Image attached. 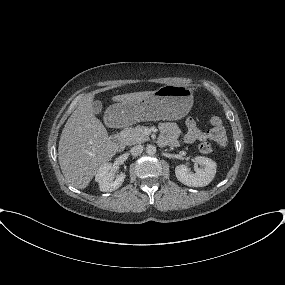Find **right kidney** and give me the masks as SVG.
Segmentation results:
<instances>
[{
	"label": "right kidney",
	"instance_id": "right-kidney-1",
	"mask_svg": "<svg viewBox=\"0 0 285 285\" xmlns=\"http://www.w3.org/2000/svg\"><path fill=\"white\" fill-rule=\"evenodd\" d=\"M125 177L126 175L123 172L115 177L112 164L106 162L99 167L95 181L98 182L100 191L112 192L122 186Z\"/></svg>",
	"mask_w": 285,
	"mask_h": 285
}]
</instances>
